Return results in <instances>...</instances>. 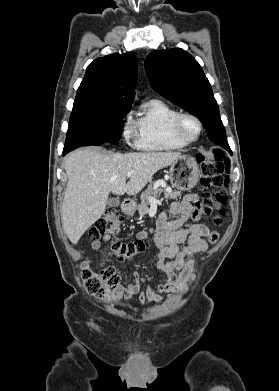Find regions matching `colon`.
I'll return each instance as SVG.
<instances>
[{"mask_svg": "<svg viewBox=\"0 0 279 391\" xmlns=\"http://www.w3.org/2000/svg\"><path fill=\"white\" fill-rule=\"evenodd\" d=\"M201 166L200 184L202 200L193 210V218L212 217L215 225H221L225 211L223 206L227 202L226 186L228 184L229 161L224 154L215 150L212 155H199ZM121 219L114 209H107L102 217L94 224L90 231L91 237L100 239L108 237L111 242L110 253L119 261L133 259L144 253L149 243L146 239H135L131 242H122L118 233ZM218 240V234L212 232L208 236L210 243ZM85 287L89 293L100 300H106L119 288V277L114 267H104L100 271L84 268L81 273Z\"/></svg>", "mask_w": 279, "mask_h": 391, "instance_id": "colon-1", "label": "colon"}]
</instances>
